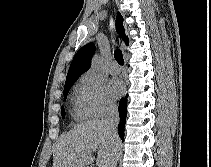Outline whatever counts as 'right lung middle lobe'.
<instances>
[{"instance_id":"right-lung-middle-lobe-1","label":"right lung middle lobe","mask_w":211,"mask_h":167,"mask_svg":"<svg viewBox=\"0 0 211 167\" xmlns=\"http://www.w3.org/2000/svg\"><path fill=\"white\" fill-rule=\"evenodd\" d=\"M76 80H71V81H68L65 83V86H64V99H66L67 97V94L70 90V88L72 87V85L74 84ZM61 113H62V117L65 116V110H64V107L61 108Z\"/></svg>"}]
</instances>
